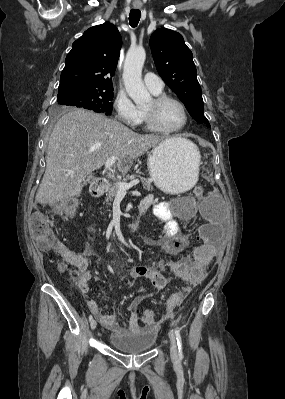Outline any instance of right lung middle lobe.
I'll list each match as a JSON object with an SVG mask.
<instances>
[{
    "label": "right lung middle lobe",
    "instance_id": "obj_1",
    "mask_svg": "<svg viewBox=\"0 0 285 399\" xmlns=\"http://www.w3.org/2000/svg\"><path fill=\"white\" fill-rule=\"evenodd\" d=\"M113 89H80L57 95V101L62 106H75L110 114L113 104Z\"/></svg>",
    "mask_w": 285,
    "mask_h": 399
}]
</instances>
